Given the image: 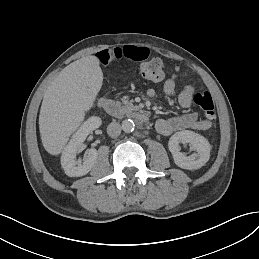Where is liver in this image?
<instances>
[{
    "label": "liver",
    "instance_id": "liver-1",
    "mask_svg": "<svg viewBox=\"0 0 259 259\" xmlns=\"http://www.w3.org/2000/svg\"><path fill=\"white\" fill-rule=\"evenodd\" d=\"M103 85L100 59L83 57L66 66L47 87L39 114V132L45 151L57 157L80 128Z\"/></svg>",
    "mask_w": 259,
    "mask_h": 259
}]
</instances>
